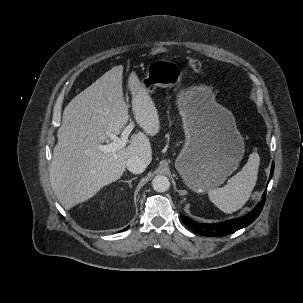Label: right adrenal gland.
I'll use <instances>...</instances> for the list:
<instances>
[{
	"label": "right adrenal gland",
	"mask_w": 303,
	"mask_h": 303,
	"mask_svg": "<svg viewBox=\"0 0 303 303\" xmlns=\"http://www.w3.org/2000/svg\"><path fill=\"white\" fill-rule=\"evenodd\" d=\"M136 178H137V177H133V178L130 179V180H121V182L128 183V184H129V187L132 188L131 182H132L133 180H135Z\"/></svg>",
	"instance_id": "right-adrenal-gland-1"
}]
</instances>
